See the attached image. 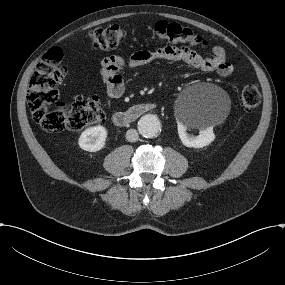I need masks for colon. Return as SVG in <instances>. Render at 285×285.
Segmentation results:
<instances>
[{
	"label": "colon",
	"instance_id": "5ec220e1",
	"mask_svg": "<svg viewBox=\"0 0 285 285\" xmlns=\"http://www.w3.org/2000/svg\"><path fill=\"white\" fill-rule=\"evenodd\" d=\"M149 32L160 43L183 42L197 48L206 45L201 36L175 22L158 21ZM126 36L127 31L116 24L97 28L89 33L92 47L100 50L115 49ZM62 60L63 53L60 49L47 51L30 78L27 93V103L33 120L48 132L82 130L105 117L97 97L72 103L59 100L58 86L67 75V68ZM240 102L246 110L256 108L261 102L258 87H244Z\"/></svg>",
	"mask_w": 285,
	"mask_h": 285
}]
</instances>
